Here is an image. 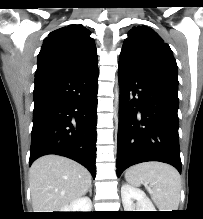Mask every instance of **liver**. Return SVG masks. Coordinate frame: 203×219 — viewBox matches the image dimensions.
Wrapping results in <instances>:
<instances>
[{"mask_svg":"<svg viewBox=\"0 0 203 219\" xmlns=\"http://www.w3.org/2000/svg\"><path fill=\"white\" fill-rule=\"evenodd\" d=\"M91 179L84 166L69 158L58 155L38 158L29 171L34 212H60L86 194Z\"/></svg>","mask_w":203,"mask_h":219,"instance_id":"6515ba94","label":"liver"}]
</instances>
